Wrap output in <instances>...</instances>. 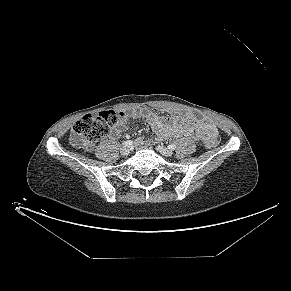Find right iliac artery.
Masks as SVG:
<instances>
[{"label":"right iliac artery","mask_w":291,"mask_h":291,"mask_svg":"<svg viewBox=\"0 0 291 291\" xmlns=\"http://www.w3.org/2000/svg\"><path fill=\"white\" fill-rule=\"evenodd\" d=\"M132 143H133V142H132L131 140H128V141H124V142H123V145H124V146H130V145H132Z\"/></svg>","instance_id":"obj_1"}]
</instances>
